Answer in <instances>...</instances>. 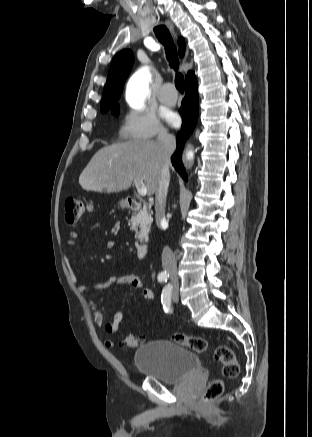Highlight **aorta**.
Returning a JSON list of instances; mask_svg holds the SVG:
<instances>
[{"label": "aorta", "instance_id": "obj_1", "mask_svg": "<svg viewBox=\"0 0 312 437\" xmlns=\"http://www.w3.org/2000/svg\"><path fill=\"white\" fill-rule=\"evenodd\" d=\"M151 74L147 68L138 70L129 80L126 91V99L131 107L141 108L145 97L149 94V83ZM194 153L192 150L187 152V159L192 160Z\"/></svg>", "mask_w": 312, "mask_h": 437}]
</instances>
